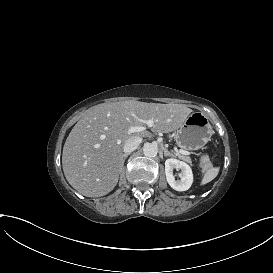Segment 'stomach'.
Listing matches in <instances>:
<instances>
[{
  "label": "stomach",
  "instance_id": "0dacf381",
  "mask_svg": "<svg viewBox=\"0 0 273 273\" xmlns=\"http://www.w3.org/2000/svg\"><path fill=\"white\" fill-rule=\"evenodd\" d=\"M214 131L208 118L202 112H193L175 132L178 147L184 150H198L210 140Z\"/></svg>",
  "mask_w": 273,
  "mask_h": 273
}]
</instances>
